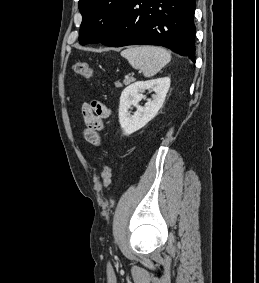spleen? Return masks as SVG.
<instances>
[{
	"instance_id": "1",
	"label": "spleen",
	"mask_w": 259,
	"mask_h": 283,
	"mask_svg": "<svg viewBox=\"0 0 259 283\" xmlns=\"http://www.w3.org/2000/svg\"><path fill=\"white\" fill-rule=\"evenodd\" d=\"M134 69H139L145 77L156 75L171 60L170 53L156 46H131L121 52Z\"/></svg>"
}]
</instances>
